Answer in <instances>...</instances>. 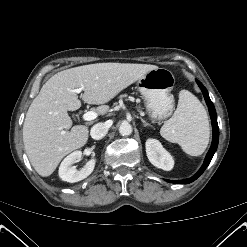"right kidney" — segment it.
Segmentation results:
<instances>
[{"instance_id": "obj_1", "label": "right kidney", "mask_w": 247, "mask_h": 247, "mask_svg": "<svg viewBox=\"0 0 247 247\" xmlns=\"http://www.w3.org/2000/svg\"><path fill=\"white\" fill-rule=\"evenodd\" d=\"M82 157L81 151H74L68 155L60 164L59 177L63 181L70 183L78 182L88 177L94 170L96 159L89 160L81 169L72 167L74 162H78Z\"/></svg>"}]
</instances>
